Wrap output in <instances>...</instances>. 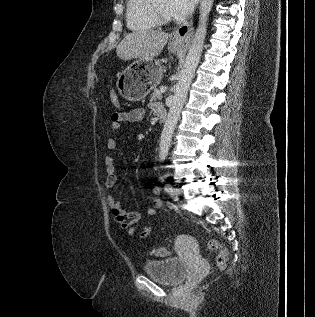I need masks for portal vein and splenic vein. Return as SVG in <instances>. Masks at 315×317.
<instances>
[{
    "label": "portal vein and splenic vein",
    "mask_w": 315,
    "mask_h": 317,
    "mask_svg": "<svg viewBox=\"0 0 315 317\" xmlns=\"http://www.w3.org/2000/svg\"><path fill=\"white\" fill-rule=\"evenodd\" d=\"M160 91H161V93H165V92L167 91V88H166V87H162V88L160 89Z\"/></svg>",
    "instance_id": "18ae733b"
}]
</instances>
